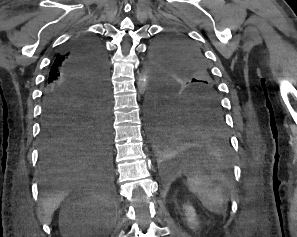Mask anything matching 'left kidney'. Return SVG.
Returning a JSON list of instances; mask_svg holds the SVG:
<instances>
[{
	"label": "left kidney",
	"mask_w": 297,
	"mask_h": 237,
	"mask_svg": "<svg viewBox=\"0 0 297 237\" xmlns=\"http://www.w3.org/2000/svg\"><path fill=\"white\" fill-rule=\"evenodd\" d=\"M183 208L185 210L186 221L189 225V228L196 230L199 227V222L195 209L191 205H184Z\"/></svg>",
	"instance_id": "obj_1"
}]
</instances>
